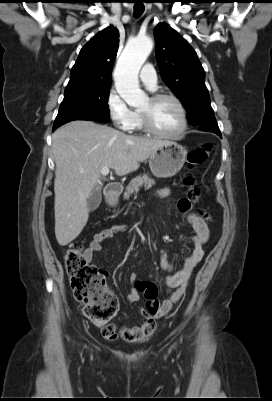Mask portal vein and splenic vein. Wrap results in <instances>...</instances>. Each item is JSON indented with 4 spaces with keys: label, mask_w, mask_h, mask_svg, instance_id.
Segmentation results:
<instances>
[{
    "label": "portal vein and splenic vein",
    "mask_w": 272,
    "mask_h": 401,
    "mask_svg": "<svg viewBox=\"0 0 272 401\" xmlns=\"http://www.w3.org/2000/svg\"><path fill=\"white\" fill-rule=\"evenodd\" d=\"M109 172H110V168L109 167H103L101 169V174L104 175V176L108 175Z\"/></svg>",
    "instance_id": "1"
}]
</instances>
